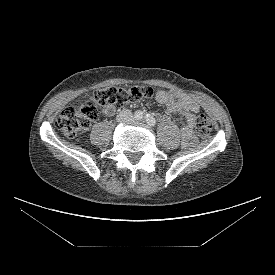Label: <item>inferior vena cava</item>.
<instances>
[{"mask_svg":"<svg viewBox=\"0 0 275 275\" xmlns=\"http://www.w3.org/2000/svg\"><path fill=\"white\" fill-rule=\"evenodd\" d=\"M133 119L132 112L130 110H123L117 116L118 122H129Z\"/></svg>","mask_w":275,"mask_h":275,"instance_id":"1","label":"inferior vena cava"}]
</instances>
